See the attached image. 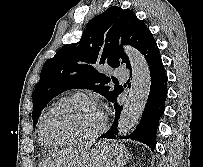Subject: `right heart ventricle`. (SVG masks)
<instances>
[{
    "mask_svg": "<svg viewBox=\"0 0 203 167\" xmlns=\"http://www.w3.org/2000/svg\"><path fill=\"white\" fill-rule=\"evenodd\" d=\"M39 140H40L41 144H42L43 146L47 147V148H53V147L58 146V145H56V144H53V143H50V142L46 141V140L43 138L42 134H41L40 128H39Z\"/></svg>",
    "mask_w": 203,
    "mask_h": 167,
    "instance_id": "obj_1",
    "label": "right heart ventricle"
}]
</instances>
